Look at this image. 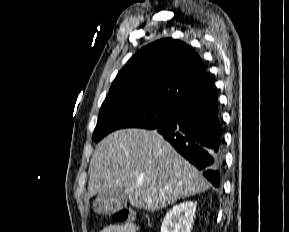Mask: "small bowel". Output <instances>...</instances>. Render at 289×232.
I'll use <instances>...</instances> for the list:
<instances>
[{
  "label": "small bowel",
  "instance_id": "c3829d8e",
  "mask_svg": "<svg viewBox=\"0 0 289 232\" xmlns=\"http://www.w3.org/2000/svg\"><path fill=\"white\" fill-rule=\"evenodd\" d=\"M100 232H139V226L134 222L122 226L112 224L104 227Z\"/></svg>",
  "mask_w": 289,
  "mask_h": 232
}]
</instances>
